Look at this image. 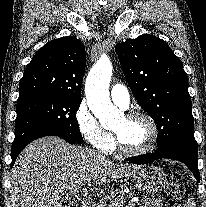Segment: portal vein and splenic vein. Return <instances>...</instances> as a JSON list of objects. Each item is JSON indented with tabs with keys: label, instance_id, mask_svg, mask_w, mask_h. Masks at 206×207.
Segmentation results:
<instances>
[{
	"label": "portal vein and splenic vein",
	"instance_id": "portal-vein-and-splenic-vein-1",
	"mask_svg": "<svg viewBox=\"0 0 206 207\" xmlns=\"http://www.w3.org/2000/svg\"><path fill=\"white\" fill-rule=\"evenodd\" d=\"M81 189V186H77L75 187L74 189L70 190L66 196H75V197H78L77 194L79 192V190Z\"/></svg>",
	"mask_w": 206,
	"mask_h": 207
}]
</instances>
